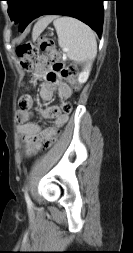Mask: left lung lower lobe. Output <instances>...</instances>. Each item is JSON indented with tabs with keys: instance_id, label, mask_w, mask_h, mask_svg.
Returning a JSON list of instances; mask_svg holds the SVG:
<instances>
[{
	"instance_id": "left-lung-lower-lobe-1",
	"label": "left lung lower lobe",
	"mask_w": 133,
	"mask_h": 253,
	"mask_svg": "<svg viewBox=\"0 0 133 253\" xmlns=\"http://www.w3.org/2000/svg\"><path fill=\"white\" fill-rule=\"evenodd\" d=\"M103 1L105 0H29L19 21V31L23 32L26 26L39 16L56 14L77 18L101 36Z\"/></svg>"
}]
</instances>
